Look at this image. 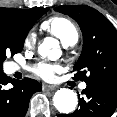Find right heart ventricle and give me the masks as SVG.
<instances>
[{
	"mask_svg": "<svg viewBox=\"0 0 117 117\" xmlns=\"http://www.w3.org/2000/svg\"><path fill=\"white\" fill-rule=\"evenodd\" d=\"M42 27L59 38L65 46L74 45L78 41V30L74 23L66 17L49 18L42 24Z\"/></svg>",
	"mask_w": 117,
	"mask_h": 117,
	"instance_id": "obj_1",
	"label": "right heart ventricle"
}]
</instances>
